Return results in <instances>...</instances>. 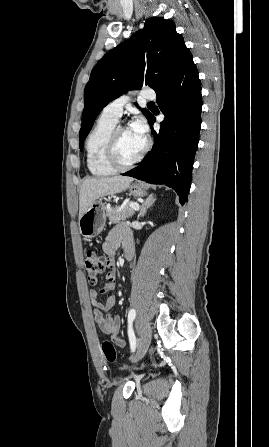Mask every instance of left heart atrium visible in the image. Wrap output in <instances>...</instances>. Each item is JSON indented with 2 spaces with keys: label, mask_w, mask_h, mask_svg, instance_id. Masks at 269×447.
<instances>
[{
  "label": "left heart atrium",
  "mask_w": 269,
  "mask_h": 447,
  "mask_svg": "<svg viewBox=\"0 0 269 447\" xmlns=\"http://www.w3.org/2000/svg\"><path fill=\"white\" fill-rule=\"evenodd\" d=\"M131 128H133L136 132L141 134L142 136L147 135L148 129L145 120L142 117H136L130 125Z\"/></svg>",
  "instance_id": "1"
}]
</instances>
